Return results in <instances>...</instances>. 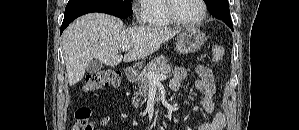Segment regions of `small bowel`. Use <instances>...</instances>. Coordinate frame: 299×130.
<instances>
[{
	"label": "small bowel",
	"instance_id": "small-bowel-1",
	"mask_svg": "<svg viewBox=\"0 0 299 130\" xmlns=\"http://www.w3.org/2000/svg\"><path fill=\"white\" fill-rule=\"evenodd\" d=\"M196 78L192 87L203 94L201 105L207 113H215L209 122H200L195 125L196 130H223L226 126V115L223 111H216L215 93L216 87L212 71L205 65L199 64L194 67ZM187 77V70L184 67H177L170 81L173 90L180 89L181 82ZM111 122V116L106 115L100 120L101 126H107ZM73 130H77L73 128Z\"/></svg>",
	"mask_w": 299,
	"mask_h": 130
}]
</instances>
